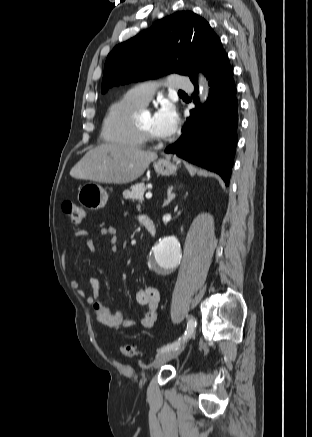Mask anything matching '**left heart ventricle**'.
<instances>
[{"instance_id":"1","label":"left heart ventricle","mask_w":312,"mask_h":437,"mask_svg":"<svg viewBox=\"0 0 312 437\" xmlns=\"http://www.w3.org/2000/svg\"><path fill=\"white\" fill-rule=\"evenodd\" d=\"M138 122L139 124L145 128L147 131H149L155 138L164 140L165 137H163L161 134L157 132L154 126V118L153 115L150 113H141L138 116Z\"/></svg>"}]
</instances>
